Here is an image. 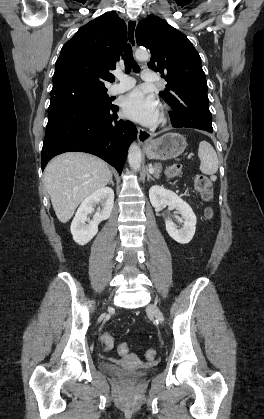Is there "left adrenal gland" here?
Returning a JSON list of instances; mask_svg holds the SVG:
<instances>
[{"instance_id": "a2214340", "label": "left adrenal gland", "mask_w": 264, "mask_h": 419, "mask_svg": "<svg viewBox=\"0 0 264 419\" xmlns=\"http://www.w3.org/2000/svg\"><path fill=\"white\" fill-rule=\"evenodd\" d=\"M152 165L151 164H149V167H151ZM154 180V178L150 175V173L149 172H147V180Z\"/></svg>"}]
</instances>
